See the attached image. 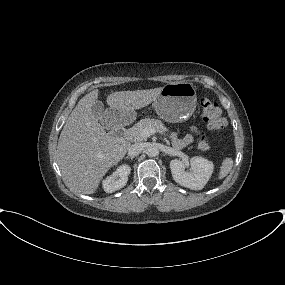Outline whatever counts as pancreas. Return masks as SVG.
<instances>
[{
	"label": "pancreas",
	"mask_w": 285,
	"mask_h": 285,
	"mask_svg": "<svg viewBox=\"0 0 285 285\" xmlns=\"http://www.w3.org/2000/svg\"><path fill=\"white\" fill-rule=\"evenodd\" d=\"M144 128H151L160 133L168 131L161 120L145 118L137 122L133 127L129 128L126 131L127 139L132 142H140L146 140V138L141 136V131Z\"/></svg>",
	"instance_id": "pancreas-1"
}]
</instances>
